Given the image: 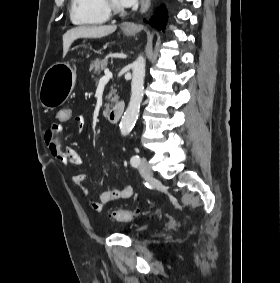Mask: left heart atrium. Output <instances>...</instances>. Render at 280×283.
<instances>
[{"instance_id": "obj_1", "label": "left heart atrium", "mask_w": 280, "mask_h": 283, "mask_svg": "<svg viewBox=\"0 0 280 283\" xmlns=\"http://www.w3.org/2000/svg\"><path fill=\"white\" fill-rule=\"evenodd\" d=\"M123 7H130L136 3L137 0H119Z\"/></svg>"}]
</instances>
